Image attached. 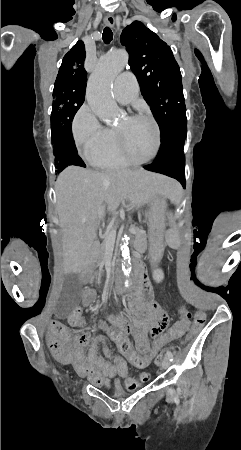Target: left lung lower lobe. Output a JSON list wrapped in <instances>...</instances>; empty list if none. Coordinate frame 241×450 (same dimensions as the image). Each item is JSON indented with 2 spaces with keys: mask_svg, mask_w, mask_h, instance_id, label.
Here are the masks:
<instances>
[{
  "mask_svg": "<svg viewBox=\"0 0 241 450\" xmlns=\"http://www.w3.org/2000/svg\"><path fill=\"white\" fill-rule=\"evenodd\" d=\"M187 134V121L173 126L163 137L156 159L146 170L165 174L177 179L185 187L184 140Z\"/></svg>",
  "mask_w": 241,
  "mask_h": 450,
  "instance_id": "1",
  "label": "left lung lower lobe"
}]
</instances>
